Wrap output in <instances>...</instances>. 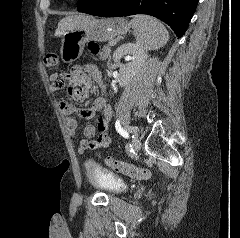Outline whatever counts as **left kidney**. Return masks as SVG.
<instances>
[{"instance_id":"left-kidney-1","label":"left kidney","mask_w":240,"mask_h":238,"mask_svg":"<svg viewBox=\"0 0 240 238\" xmlns=\"http://www.w3.org/2000/svg\"><path fill=\"white\" fill-rule=\"evenodd\" d=\"M122 58L128 61L126 65L121 63ZM146 58L145 51L137 43H124L114 51L113 61L120 67L117 80L119 86L124 87L131 82L144 65Z\"/></svg>"}]
</instances>
